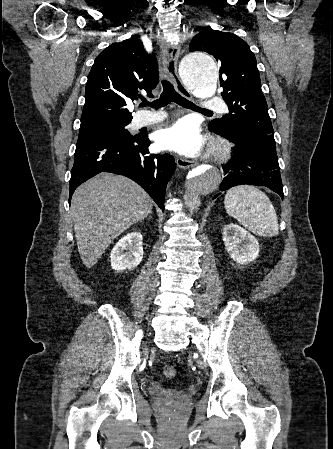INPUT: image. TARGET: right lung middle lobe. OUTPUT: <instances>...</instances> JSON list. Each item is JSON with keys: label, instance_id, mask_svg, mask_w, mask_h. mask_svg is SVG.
Returning a JSON list of instances; mask_svg holds the SVG:
<instances>
[{"label": "right lung middle lobe", "instance_id": "right-lung-middle-lobe-1", "mask_svg": "<svg viewBox=\"0 0 333 449\" xmlns=\"http://www.w3.org/2000/svg\"><path fill=\"white\" fill-rule=\"evenodd\" d=\"M129 123L130 121L112 122L80 128L78 139H84L89 137H103V136L135 137L136 135L135 136L130 135L129 131L126 129V126Z\"/></svg>", "mask_w": 333, "mask_h": 449}]
</instances>
